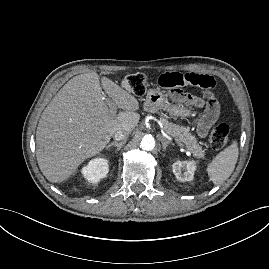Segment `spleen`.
<instances>
[{"label": "spleen", "instance_id": "obj_1", "mask_svg": "<svg viewBox=\"0 0 269 269\" xmlns=\"http://www.w3.org/2000/svg\"><path fill=\"white\" fill-rule=\"evenodd\" d=\"M238 155V143L233 141L230 146L217 154L207 166L208 176L215 185L223 183L231 176L237 163Z\"/></svg>", "mask_w": 269, "mask_h": 269}]
</instances>
